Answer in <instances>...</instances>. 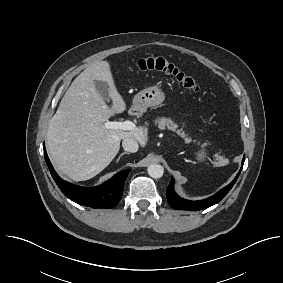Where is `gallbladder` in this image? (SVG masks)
<instances>
[{
	"mask_svg": "<svg viewBox=\"0 0 283 283\" xmlns=\"http://www.w3.org/2000/svg\"><path fill=\"white\" fill-rule=\"evenodd\" d=\"M95 88L105 102L110 101L109 89L103 81H95Z\"/></svg>",
	"mask_w": 283,
	"mask_h": 283,
	"instance_id": "gallbladder-1",
	"label": "gallbladder"
}]
</instances>
